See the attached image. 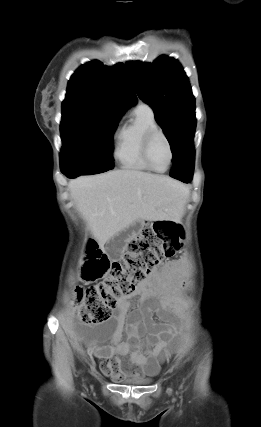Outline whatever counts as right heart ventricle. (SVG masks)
I'll use <instances>...</instances> for the list:
<instances>
[{"mask_svg":"<svg viewBox=\"0 0 261 427\" xmlns=\"http://www.w3.org/2000/svg\"><path fill=\"white\" fill-rule=\"evenodd\" d=\"M158 128L152 111L137 106L132 119L124 124L116 137L114 156L124 169L150 171L142 157L144 136L152 129Z\"/></svg>","mask_w":261,"mask_h":427,"instance_id":"e07e8e85","label":"right heart ventricle"}]
</instances>
